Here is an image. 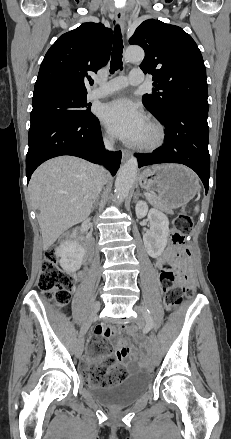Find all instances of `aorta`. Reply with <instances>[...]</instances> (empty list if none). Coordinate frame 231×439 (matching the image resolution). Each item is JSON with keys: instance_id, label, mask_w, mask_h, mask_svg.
I'll return each mask as SVG.
<instances>
[{"instance_id": "1", "label": "aorta", "mask_w": 231, "mask_h": 439, "mask_svg": "<svg viewBox=\"0 0 231 439\" xmlns=\"http://www.w3.org/2000/svg\"><path fill=\"white\" fill-rule=\"evenodd\" d=\"M144 51L140 47H129L125 52V59L128 62L142 61ZM138 169V161L135 157H131L124 165L121 166L116 181L115 195L119 200L127 197L136 178Z\"/></svg>"}]
</instances>
